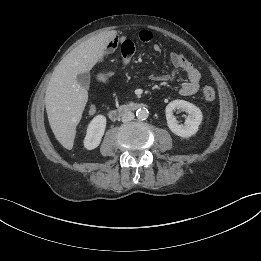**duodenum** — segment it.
<instances>
[{
	"label": "duodenum",
	"instance_id": "duodenum-1",
	"mask_svg": "<svg viewBox=\"0 0 261 261\" xmlns=\"http://www.w3.org/2000/svg\"><path fill=\"white\" fill-rule=\"evenodd\" d=\"M143 104L139 103H128L125 105H122L118 108H115L110 111L109 115L112 120H117L119 119L123 114L130 112V111H135L139 108H142Z\"/></svg>",
	"mask_w": 261,
	"mask_h": 261
}]
</instances>
